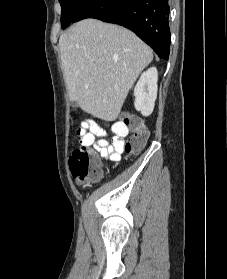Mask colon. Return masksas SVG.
Wrapping results in <instances>:
<instances>
[{
    "mask_svg": "<svg viewBox=\"0 0 227 279\" xmlns=\"http://www.w3.org/2000/svg\"><path fill=\"white\" fill-rule=\"evenodd\" d=\"M121 123L127 128L130 127L132 135L125 143V150L128 153H139L146 145L149 132L135 116H125ZM79 146L69 158L71 173L83 184L95 181L101 173V160L96 151L90 148L93 142L92 136L85 130L79 129Z\"/></svg>",
    "mask_w": 227,
    "mask_h": 279,
    "instance_id": "5ec220e1",
    "label": "colon"
}]
</instances>
